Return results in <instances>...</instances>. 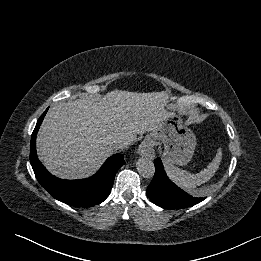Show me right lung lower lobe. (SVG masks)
Segmentation results:
<instances>
[{
    "label": "right lung lower lobe",
    "mask_w": 261,
    "mask_h": 261,
    "mask_svg": "<svg viewBox=\"0 0 261 261\" xmlns=\"http://www.w3.org/2000/svg\"><path fill=\"white\" fill-rule=\"evenodd\" d=\"M48 110V109H47ZM47 110L38 119L31 137L30 162L39 183L57 200L74 207H92L109 195L116 172L125 164L122 154L109 157L99 171L90 178L64 180L50 174L36 153V135Z\"/></svg>",
    "instance_id": "98d812e1"
}]
</instances>
